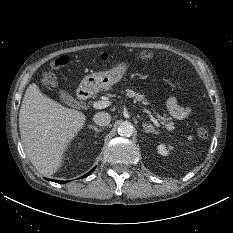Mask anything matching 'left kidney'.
Instances as JSON below:
<instances>
[{
	"mask_svg": "<svg viewBox=\"0 0 233 233\" xmlns=\"http://www.w3.org/2000/svg\"><path fill=\"white\" fill-rule=\"evenodd\" d=\"M157 149H158V153H159V154H161V155H163V156H166V155H168L169 150H171L172 147L167 148L164 144H160V145L157 147Z\"/></svg>",
	"mask_w": 233,
	"mask_h": 233,
	"instance_id": "1",
	"label": "left kidney"
}]
</instances>
